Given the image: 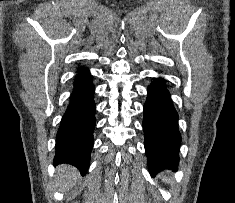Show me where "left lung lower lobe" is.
Masks as SVG:
<instances>
[{"label": "left lung lower lobe", "mask_w": 235, "mask_h": 203, "mask_svg": "<svg viewBox=\"0 0 235 203\" xmlns=\"http://www.w3.org/2000/svg\"><path fill=\"white\" fill-rule=\"evenodd\" d=\"M143 130L151 176L164 169L177 171L181 135L178 113L163 79H155L148 88L144 104Z\"/></svg>", "instance_id": "1"}]
</instances>
